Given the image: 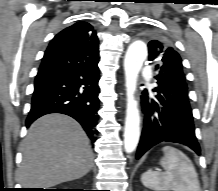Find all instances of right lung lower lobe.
Returning <instances> with one entry per match:
<instances>
[{
    "mask_svg": "<svg viewBox=\"0 0 218 191\" xmlns=\"http://www.w3.org/2000/svg\"><path fill=\"white\" fill-rule=\"evenodd\" d=\"M98 46L52 40L35 78L29 127L37 118L62 113L76 119L95 142L99 109Z\"/></svg>",
    "mask_w": 218,
    "mask_h": 191,
    "instance_id": "1",
    "label": "right lung lower lobe"
}]
</instances>
